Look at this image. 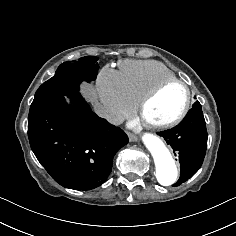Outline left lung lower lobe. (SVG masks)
Returning a JSON list of instances; mask_svg holds the SVG:
<instances>
[{
	"label": "left lung lower lobe",
	"mask_w": 236,
	"mask_h": 236,
	"mask_svg": "<svg viewBox=\"0 0 236 236\" xmlns=\"http://www.w3.org/2000/svg\"><path fill=\"white\" fill-rule=\"evenodd\" d=\"M157 134L166 140L179 158L180 178L173 185L179 186L200 169L206 154L208 134L200 103L196 101L177 126Z\"/></svg>",
	"instance_id": "obj_1"
}]
</instances>
